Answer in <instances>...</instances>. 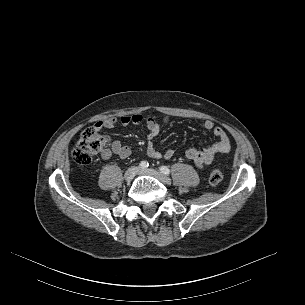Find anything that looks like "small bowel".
I'll list each match as a JSON object with an SVG mask.
<instances>
[{"mask_svg": "<svg viewBox=\"0 0 305 305\" xmlns=\"http://www.w3.org/2000/svg\"><path fill=\"white\" fill-rule=\"evenodd\" d=\"M143 116L140 114L123 115L120 118H108L103 121L95 123L97 129L112 128L118 124L128 125H139L143 122ZM169 122L168 117H164L162 120H157L154 117H148L145 120L147 127V155L154 159H172L174 157V151L167 149L163 152L159 151L155 146V140L160 134L161 125ZM201 127L204 130L211 131L215 137V141L202 148H189L185 152V158L192 161L197 168L203 169L210 165L214 157L218 154H225L230 151L231 144L226 131L218 126H215L211 120H204L201 123ZM132 153L129 146L123 144L119 140H115L111 144V148L102 153L104 160H109L113 155L119 156L121 159H127Z\"/></svg>", "mask_w": 305, "mask_h": 305, "instance_id": "obj_1", "label": "small bowel"}]
</instances>
